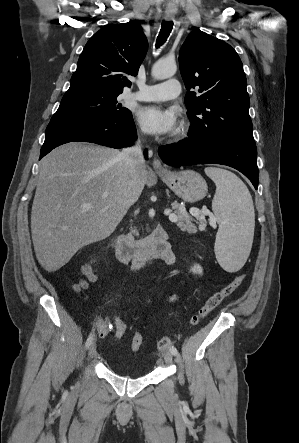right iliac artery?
<instances>
[{
    "instance_id": "1",
    "label": "right iliac artery",
    "mask_w": 299,
    "mask_h": 443,
    "mask_svg": "<svg viewBox=\"0 0 299 443\" xmlns=\"http://www.w3.org/2000/svg\"><path fill=\"white\" fill-rule=\"evenodd\" d=\"M93 341H94V332L92 331L90 333L89 337L87 338L86 343H85L86 349L89 348L93 344Z\"/></svg>"
}]
</instances>
